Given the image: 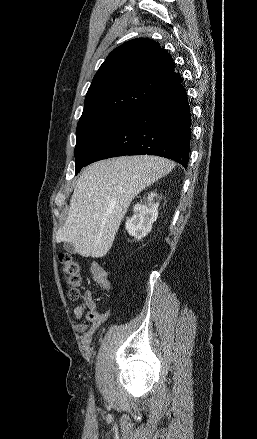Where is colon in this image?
I'll list each match as a JSON object with an SVG mask.
<instances>
[{"label": "colon", "instance_id": "colon-1", "mask_svg": "<svg viewBox=\"0 0 257 439\" xmlns=\"http://www.w3.org/2000/svg\"><path fill=\"white\" fill-rule=\"evenodd\" d=\"M60 272L67 289V298L70 302H78L82 298L83 278L82 265L69 254H59ZM92 274L96 283L103 289H108L109 279L106 271L97 263L92 266Z\"/></svg>", "mask_w": 257, "mask_h": 439}]
</instances>
